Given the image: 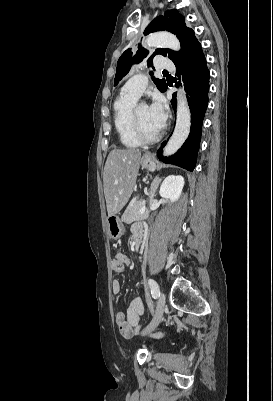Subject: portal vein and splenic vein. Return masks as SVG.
<instances>
[{
    "instance_id": "obj_1",
    "label": "portal vein and splenic vein",
    "mask_w": 273,
    "mask_h": 401,
    "mask_svg": "<svg viewBox=\"0 0 273 401\" xmlns=\"http://www.w3.org/2000/svg\"><path fill=\"white\" fill-rule=\"evenodd\" d=\"M145 205H146V202H145V201H142V202H141V206H140V213H141V215H142V213L145 212Z\"/></svg>"
}]
</instances>
